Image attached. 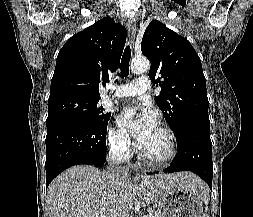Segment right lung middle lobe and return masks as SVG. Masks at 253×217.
<instances>
[{
  "label": "right lung middle lobe",
  "mask_w": 253,
  "mask_h": 217,
  "mask_svg": "<svg viewBox=\"0 0 253 217\" xmlns=\"http://www.w3.org/2000/svg\"><path fill=\"white\" fill-rule=\"evenodd\" d=\"M100 98L68 97L48 102L46 126L64 121L84 122L92 126L108 123L111 114L98 105Z\"/></svg>",
  "instance_id": "obj_1"
}]
</instances>
